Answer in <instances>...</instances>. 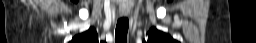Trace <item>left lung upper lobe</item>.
I'll list each match as a JSON object with an SVG mask.
<instances>
[{"instance_id": "5c2ea615", "label": "left lung upper lobe", "mask_w": 256, "mask_h": 43, "mask_svg": "<svg viewBox=\"0 0 256 43\" xmlns=\"http://www.w3.org/2000/svg\"><path fill=\"white\" fill-rule=\"evenodd\" d=\"M143 43H146L145 41ZM147 43H178V41L171 38L170 35L152 28L148 32Z\"/></svg>"}]
</instances>
